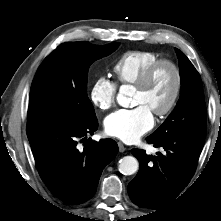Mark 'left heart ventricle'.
Here are the masks:
<instances>
[{
    "label": "left heart ventricle",
    "mask_w": 221,
    "mask_h": 221,
    "mask_svg": "<svg viewBox=\"0 0 221 221\" xmlns=\"http://www.w3.org/2000/svg\"><path fill=\"white\" fill-rule=\"evenodd\" d=\"M174 79V72L169 66L160 67L146 88L135 89L134 105H145L151 112L161 110L172 95Z\"/></svg>",
    "instance_id": "left-heart-ventricle-1"
}]
</instances>
